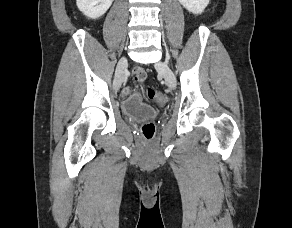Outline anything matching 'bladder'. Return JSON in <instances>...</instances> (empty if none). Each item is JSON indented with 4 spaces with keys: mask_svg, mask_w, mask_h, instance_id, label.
Returning a JSON list of instances; mask_svg holds the SVG:
<instances>
[{
    "mask_svg": "<svg viewBox=\"0 0 292 228\" xmlns=\"http://www.w3.org/2000/svg\"><path fill=\"white\" fill-rule=\"evenodd\" d=\"M123 113L132 119H151L157 115V111L149 105L129 100L122 106Z\"/></svg>",
    "mask_w": 292,
    "mask_h": 228,
    "instance_id": "31cf9c89",
    "label": "bladder"
}]
</instances>
